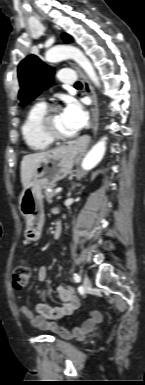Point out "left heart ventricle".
Listing matches in <instances>:
<instances>
[{
	"label": "left heart ventricle",
	"instance_id": "obj_1",
	"mask_svg": "<svg viewBox=\"0 0 145 385\" xmlns=\"http://www.w3.org/2000/svg\"><path fill=\"white\" fill-rule=\"evenodd\" d=\"M52 128L57 134H60V135L74 134V131L69 127L66 120L64 119V116L61 110H59L54 114L52 119Z\"/></svg>",
	"mask_w": 145,
	"mask_h": 385
}]
</instances>
